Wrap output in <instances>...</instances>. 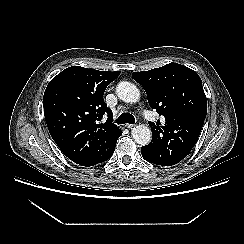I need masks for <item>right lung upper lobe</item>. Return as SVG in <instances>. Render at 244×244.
<instances>
[{
	"instance_id": "right-lung-upper-lobe-1",
	"label": "right lung upper lobe",
	"mask_w": 244,
	"mask_h": 244,
	"mask_svg": "<svg viewBox=\"0 0 244 244\" xmlns=\"http://www.w3.org/2000/svg\"><path fill=\"white\" fill-rule=\"evenodd\" d=\"M120 71H98L80 66L69 67L48 84L44 97V116L49 132L63 152L76 164L96 162L110 151L120 129L103 94ZM105 123H99L103 115Z\"/></svg>"
}]
</instances>
